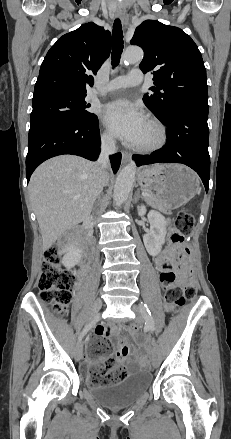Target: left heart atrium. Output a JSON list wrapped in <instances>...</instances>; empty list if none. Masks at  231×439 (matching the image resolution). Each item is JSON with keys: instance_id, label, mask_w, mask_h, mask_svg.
I'll return each instance as SVG.
<instances>
[{"instance_id": "39dd6f15", "label": "left heart atrium", "mask_w": 231, "mask_h": 439, "mask_svg": "<svg viewBox=\"0 0 231 439\" xmlns=\"http://www.w3.org/2000/svg\"><path fill=\"white\" fill-rule=\"evenodd\" d=\"M103 121L118 138L133 145L138 144L147 124L143 111L127 99L108 103Z\"/></svg>"}]
</instances>
